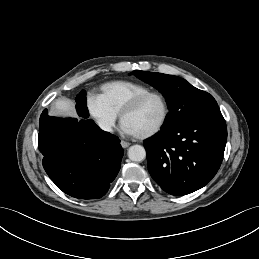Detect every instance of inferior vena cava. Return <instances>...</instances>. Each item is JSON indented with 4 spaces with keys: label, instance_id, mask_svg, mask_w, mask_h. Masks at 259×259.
<instances>
[{
    "label": "inferior vena cava",
    "instance_id": "602c4592",
    "mask_svg": "<svg viewBox=\"0 0 259 259\" xmlns=\"http://www.w3.org/2000/svg\"><path fill=\"white\" fill-rule=\"evenodd\" d=\"M98 125H99V127L102 130L107 131V132H112L111 125L108 122H106V121H99Z\"/></svg>",
    "mask_w": 259,
    "mask_h": 259
}]
</instances>
